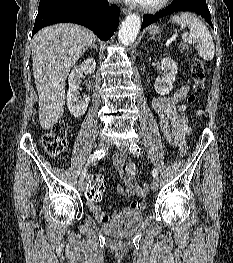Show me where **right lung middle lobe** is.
<instances>
[{"label":"right lung middle lobe","mask_w":233,"mask_h":263,"mask_svg":"<svg viewBox=\"0 0 233 263\" xmlns=\"http://www.w3.org/2000/svg\"><path fill=\"white\" fill-rule=\"evenodd\" d=\"M78 0H40L38 13L56 6H74Z\"/></svg>","instance_id":"obj_1"}]
</instances>
